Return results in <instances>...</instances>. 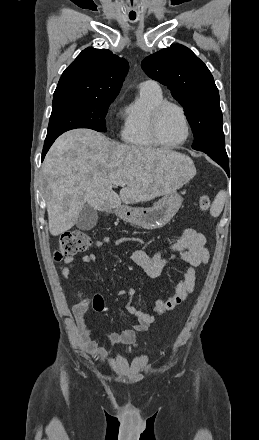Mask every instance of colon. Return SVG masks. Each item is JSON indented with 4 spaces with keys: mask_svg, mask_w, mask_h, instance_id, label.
<instances>
[{
    "mask_svg": "<svg viewBox=\"0 0 259 440\" xmlns=\"http://www.w3.org/2000/svg\"><path fill=\"white\" fill-rule=\"evenodd\" d=\"M199 208L202 211H207L210 207L211 201L208 195H201L198 200ZM92 241L91 238L84 232L79 230L68 231L61 235L59 239L58 248L54 252V259L60 261L64 258L73 257L81 252L86 251ZM79 305L86 306L83 302Z\"/></svg>",
    "mask_w": 259,
    "mask_h": 440,
    "instance_id": "5ec220e1",
    "label": "colon"
}]
</instances>
